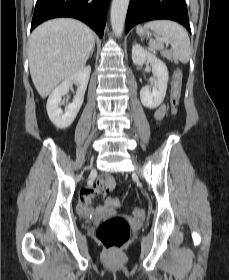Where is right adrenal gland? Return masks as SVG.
I'll use <instances>...</instances> for the list:
<instances>
[{
	"instance_id": "obj_1",
	"label": "right adrenal gland",
	"mask_w": 229,
	"mask_h": 280,
	"mask_svg": "<svg viewBox=\"0 0 229 280\" xmlns=\"http://www.w3.org/2000/svg\"><path fill=\"white\" fill-rule=\"evenodd\" d=\"M94 48H95V44L93 45V47H92V49H91V51H90L89 57H92L93 52H94ZM89 57H88V58H89Z\"/></svg>"
}]
</instances>
